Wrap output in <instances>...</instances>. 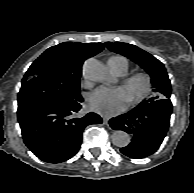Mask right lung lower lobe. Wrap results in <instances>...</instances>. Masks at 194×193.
Masks as SVG:
<instances>
[{
	"label": "right lung lower lobe",
	"instance_id": "98d812e1",
	"mask_svg": "<svg viewBox=\"0 0 194 193\" xmlns=\"http://www.w3.org/2000/svg\"><path fill=\"white\" fill-rule=\"evenodd\" d=\"M82 101L71 105L18 106L23 140L39 159L49 163L68 160L80 149L84 128L102 123L101 117L93 112L75 117Z\"/></svg>",
	"mask_w": 194,
	"mask_h": 193
}]
</instances>
